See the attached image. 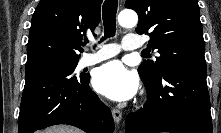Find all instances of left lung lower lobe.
<instances>
[{
	"mask_svg": "<svg viewBox=\"0 0 221 133\" xmlns=\"http://www.w3.org/2000/svg\"><path fill=\"white\" fill-rule=\"evenodd\" d=\"M141 79L147 101L128 115L126 133H212L206 69L174 65L156 79Z\"/></svg>",
	"mask_w": 221,
	"mask_h": 133,
	"instance_id": "obj_1",
	"label": "left lung lower lobe"
}]
</instances>
